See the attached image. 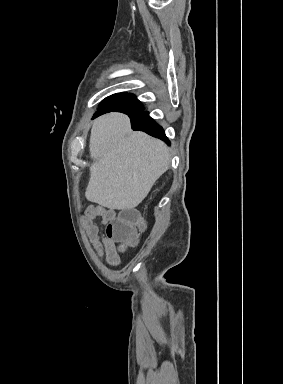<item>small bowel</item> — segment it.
Segmentation results:
<instances>
[{
  "mask_svg": "<svg viewBox=\"0 0 283 384\" xmlns=\"http://www.w3.org/2000/svg\"><path fill=\"white\" fill-rule=\"evenodd\" d=\"M98 218H100L101 224L105 226L104 231L95 222ZM115 218L116 212L112 209L104 206H89L85 211L83 221L84 228L95 251L99 256L105 257L106 261L112 266H117L121 262L115 241L107 234V227Z\"/></svg>",
  "mask_w": 283,
  "mask_h": 384,
  "instance_id": "c3829d8e",
  "label": "small bowel"
}]
</instances>
